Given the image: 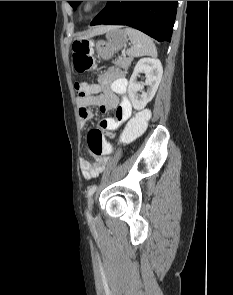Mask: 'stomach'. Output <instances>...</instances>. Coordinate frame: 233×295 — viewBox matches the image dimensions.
Segmentation results:
<instances>
[{
	"label": "stomach",
	"instance_id": "obj_1",
	"mask_svg": "<svg viewBox=\"0 0 233 295\" xmlns=\"http://www.w3.org/2000/svg\"><path fill=\"white\" fill-rule=\"evenodd\" d=\"M107 42H99L96 44L98 57L103 60H109L113 55L121 50L127 43V34L119 29L113 28L107 31Z\"/></svg>",
	"mask_w": 233,
	"mask_h": 295
}]
</instances>
